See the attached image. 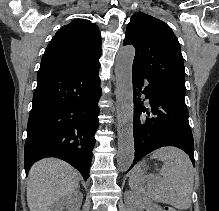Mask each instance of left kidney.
<instances>
[{
    "label": "left kidney",
    "mask_w": 219,
    "mask_h": 211,
    "mask_svg": "<svg viewBox=\"0 0 219 211\" xmlns=\"http://www.w3.org/2000/svg\"><path fill=\"white\" fill-rule=\"evenodd\" d=\"M136 205L138 211H141V209H147V211H162L160 205H157V203H149L148 199H141V197H138Z\"/></svg>",
    "instance_id": "5707ae66"
}]
</instances>
